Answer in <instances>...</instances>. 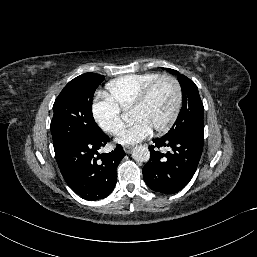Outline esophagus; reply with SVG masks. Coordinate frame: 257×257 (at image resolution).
I'll list each match as a JSON object with an SVG mask.
<instances>
[{"label":"esophagus","instance_id":"1","mask_svg":"<svg viewBox=\"0 0 257 257\" xmlns=\"http://www.w3.org/2000/svg\"><path fill=\"white\" fill-rule=\"evenodd\" d=\"M123 149L126 153H130L132 148L130 146H124Z\"/></svg>","mask_w":257,"mask_h":257}]
</instances>
